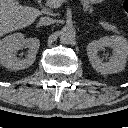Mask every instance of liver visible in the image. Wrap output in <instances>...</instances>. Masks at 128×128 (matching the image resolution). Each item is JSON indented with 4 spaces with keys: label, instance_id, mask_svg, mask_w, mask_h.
Listing matches in <instances>:
<instances>
[{
    "label": "liver",
    "instance_id": "1",
    "mask_svg": "<svg viewBox=\"0 0 128 128\" xmlns=\"http://www.w3.org/2000/svg\"><path fill=\"white\" fill-rule=\"evenodd\" d=\"M40 14V10L16 0H0V37L31 25Z\"/></svg>",
    "mask_w": 128,
    "mask_h": 128
}]
</instances>
